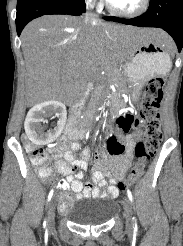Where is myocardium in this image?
Returning a JSON list of instances; mask_svg holds the SVG:
<instances>
[{
	"mask_svg": "<svg viewBox=\"0 0 183 246\" xmlns=\"http://www.w3.org/2000/svg\"><path fill=\"white\" fill-rule=\"evenodd\" d=\"M150 0H141L140 5L131 11H122L116 9L108 0H106V7L110 13L113 15L124 17V18H133L143 14L149 7Z\"/></svg>",
	"mask_w": 183,
	"mask_h": 246,
	"instance_id": "f54148a6",
	"label": "myocardium"
}]
</instances>
